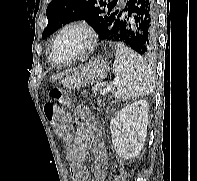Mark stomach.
I'll use <instances>...</instances> for the list:
<instances>
[{
  "label": "stomach",
  "mask_w": 197,
  "mask_h": 181,
  "mask_svg": "<svg viewBox=\"0 0 197 181\" xmlns=\"http://www.w3.org/2000/svg\"><path fill=\"white\" fill-rule=\"evenodd\" d=\"M110 70L109 63L105 59H96L84 67L68 73L61 84L67 89H78L88 84L102 81Z\"/></svg>",
  "instance_id": "0dacf381"
}]
</instances>
